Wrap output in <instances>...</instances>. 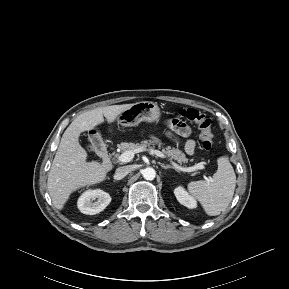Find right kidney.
I'll list each match as a JSON object with an SVG mask.
<instances>
[{
  "label": "right kidney",
  "instance_id": "right-kidney-1",
  "mask_svg": "<svg viewBox=\"0 0 289 289\" xmlns=\"http://www.w3.org/2000/svg\"><path fill=\"white\" fill-rule=\"evenodd\" d=\"M97 201L93 202V200ZM111 202V196L102 190H88L78 199V209L87 215H95L103 211Z\"/></svg>",
  "mask_w": 289,
  "mask_h": 289
}]
</instances>
